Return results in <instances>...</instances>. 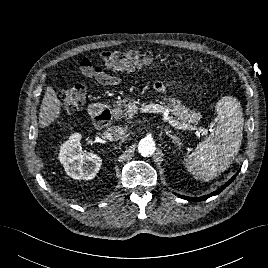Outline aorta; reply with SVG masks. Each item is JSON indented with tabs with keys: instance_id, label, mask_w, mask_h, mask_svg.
Returning <instances> with one entry per match:
<instances>
[{
	"instance_id": "1",
	"label": "aorta",
	"mask_w": 268,
	"mask_h": 268,
	"mask_svg": "<svg viewBox=\"0 0 268 268\" xmlns=\"http://www.w3.org/2000/svg\"><path fill=\"white\" fill-rule=\"evenodd\" d=\"M155 143L150 138H143L138 143V151L143 157H150L155 152Z\"/></svg>"
}]
</instances>
